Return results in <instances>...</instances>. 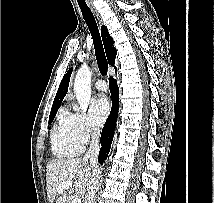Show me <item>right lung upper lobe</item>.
<instances>
[{"label":"right lung upper lobe","instance_id":"cb5924a9","mask_svg":"<svg viewBox=\"0 0 214 203\" xmlns=\"http://www.w3.org/2000/svg\"><path fill=\"white\" fill-rule=\"evenodd\" d=\"M101 36H102L108 63L111 66H114V60H115L117 51L113 46V39L109 35L108 30L105 26L101 27ZM71 72H72V68H70L69 72L63 77L60 83L59 89L57 91V94L55 96V99L51 108L50 116L56 115V112L58 111V108L60 107V104L67 93Z\"/></svg>","mask_w":214,"mask_h":203}]
</instances>
